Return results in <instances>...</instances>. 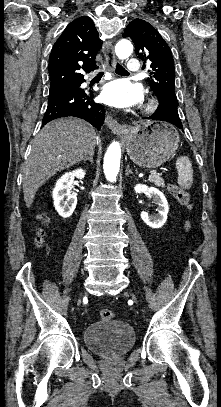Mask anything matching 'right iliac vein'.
Segmentation results:
<instances>
[{
  "label": "right iliac vein",
  "instance_id": "63e3f726",
  "mask_svg": "<svg viewBox=\"0 0 221 407\" xmlns=\"http://www.w3.org/2000/svg\"><path fill=\"white\" fill-rule=\"evenodd\" d=\"M83 295V292L80 293L79 295V302L81 301V296Z\"/></svg>",
  "mask_w": 221,
  "mask_h": 407
}]
</instances>
